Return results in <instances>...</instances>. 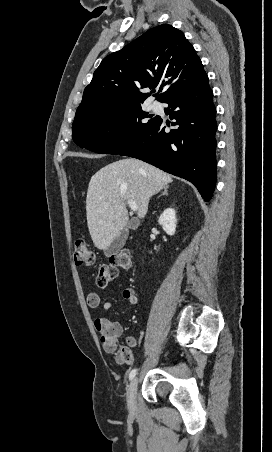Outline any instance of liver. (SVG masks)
Here are the masks:
<instances>
[{"label":"liver","instance_id":"6515ba94","mask_svg":"<svg viewBox=\"0 0 272 452\" xmlns=\"http://www.w3.org/2000/svg\"><path fill=\"white\" fill-rule=\"evenodd\" d=\"M171 182L166 172L134 158L98 170L91 177L86 198L87 224L94 245L105 250L127 226L128 199L137 204V216L142 219L150 198Z\"/></svg>","mask_w":272,"mask_h":452}]
</instances>
